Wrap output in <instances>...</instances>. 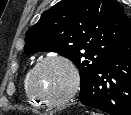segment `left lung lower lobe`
I'll return each mask as SVG.
<instances>
[{
    "instance_id": "0a47b994",
    "label": "left lung lower lobe",
    "mask_w": 131,
    "mask_h": 115,
    "mask_svg": "<svg viewBox=\"0 0 131 115\" xmlns=\"http://www.w3.org/2000/svg\"><path fill=\"white\" fill-rule=\"evenodd\" d=\"M79 101L110 115H131V32L109 54Z\"/></svg>"
}]
</instances>
